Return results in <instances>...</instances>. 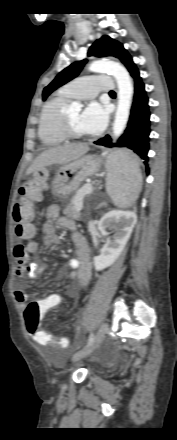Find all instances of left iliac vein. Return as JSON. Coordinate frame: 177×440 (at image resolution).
<instances>
[{"mask_svg":"<svg viewBox=\"0 0 177 440\" xmlns=\"http://www.w3.org/2000/svg\"><path fill=\"white\" fill-rule=\"evenodd\" d=\"M106 332H107V324L102 323L96 332L93 342L89 346H87L84 350L77 352L73 356L72 361L76 362L90 355L98 347Z\"/></svg>","mask_w":177,"mask_h":440,"instance_id":"left-iliac-vein-1","label":"left iliac vein"}]
</instances>
